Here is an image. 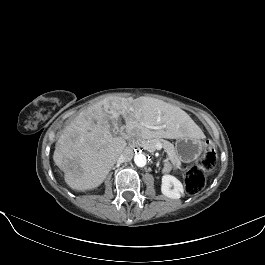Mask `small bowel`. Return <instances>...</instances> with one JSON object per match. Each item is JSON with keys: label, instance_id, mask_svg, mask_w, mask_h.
<instances>
[{"label": "small bowel", "instance_id": "1", "mask_svg": "<svg viewBox=\"0 0 265 265\" xmlns=\"http://www.w3.org/2000/svg\"><path fill=\"white\" fill-rule=\"evenodd\" d=\"M171 168H172L171 163H166V164H165V167H164V171H165V172H169V171L171 170Z\"/></svg>", "mask_w": 265, "mask_h": 265}]
</instances>
